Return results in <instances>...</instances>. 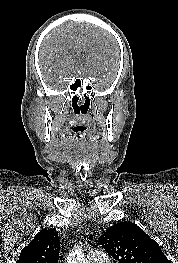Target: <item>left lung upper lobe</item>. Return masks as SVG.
<instances>
[{
	"label": "left lung upper lobe",
	"instance_id": "obj_1",
	"mask_svg": "<svg viewBox=\"0 0 178 263\" xmlns=\"http://www.w3.org/2000/svg\"><path fill=\"white\" fill-rule=\"evenodd\" d=\"M99 241L120 263H171L158 243L132 222H120L110 227Z\"/></svg>",
	"mask_w": 178,
	"mask_h": 263
}]
</instances>
